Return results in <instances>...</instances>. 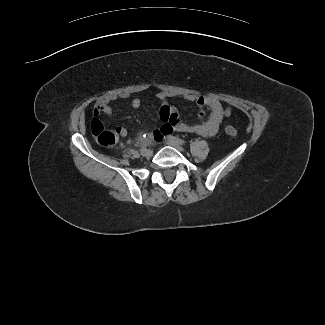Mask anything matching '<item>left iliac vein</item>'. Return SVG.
Returning a JSON list of instances; mask_svg holds the SVG:
<instances>
[{
	"label": "left iliac vein",
	"instance_id": "left-iliac-vein-1",
	"mask_svg": "<svg viewBox=\"0 0 325 325\" xmlns=\"http://www.w3.org/2000/svg\"><path fill=\"white\" fill-rule=\"evenodd\" d=\"M165 143H166L167 145H169V146L174 147L175 149H177V150H179V151H183V150H184V148H183L180 144H178V143L172 141L169 137L166 139Z\"/></svg>",
	"mask_w": 325,
	"mask_h": 325
}]
</instances>
